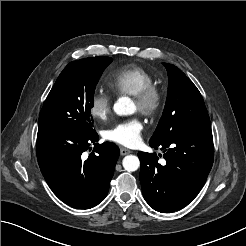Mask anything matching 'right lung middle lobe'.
Here are the masks:
<instances>
[{
    "label": "right lung middle lobe",
    "instance_id": "right-lung-middle-lobe-1",
    "mask_svg": "<svg viewBox=\"0 0 246 246\" xmlns=\"http://www.w3.org/2000/svg\"><path fill=\"white\" fill-rule=\"evenodd\" d=\"M112 58L97 56L70 62L57 78L39 116V128L52 127L90 134V110L96 84Z\"/></svg>",
    "mask_w": 246,
    "mask_h": 246
}]
</instances>
